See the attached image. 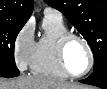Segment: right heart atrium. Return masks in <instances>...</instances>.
Instances as JSON below:
<instances>
[{
    "label": "right heart atrium",
    "instance_id": "1",
    "mask_svg": "<svg viewBox=\"0 0 107 89\" xmlns=\"http://www.w3.org/2000/svg\"><path fill=\"white\" fill-rule=\"evenodd\" d=\"M35 45L34 25L27 22L16 35L13 44L14 59L20 70H26L30 66Z\"/></svg>",
    "mask_w": 107,
    "mask_h": 89
}]
</instances>
